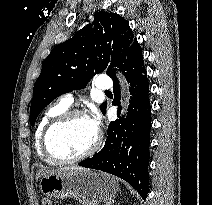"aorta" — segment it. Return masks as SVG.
Returning <instances> with one entry per match:
<instances>
[{
	"label": "aorta",
	"mask_w": 212,
	"mask_h": 205,
	"mask_svg": "<svg viewBox=\"0 0 212 205\" xmlns=\"http://www.w3.org/2000/svg\"><path fill=\"white\" fill-rule=\"evenodd\" d=\"M121 85L123 86V80H121ZM127 102V99H126ZM126 102L124 103V106H126Z\"/></svg>",
	"instance_id": "obj_1"
}]
</instances>
